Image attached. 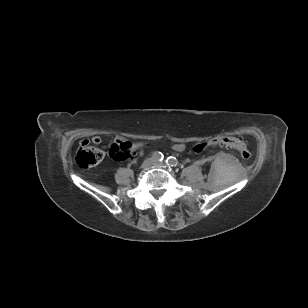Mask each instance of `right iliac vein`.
<instances>
[{
  "label": "right iliac vein",
  "mask_w": 308,
  "mask_h": 308,
  "mask_svg": "<svg viewBox=\"0 0 308 308\" xmlns=\"http://www.w3.org/2000/svg\"><path fill=\"white\" fill-rule=\"evenodd\" d=\"M153 164V160L151 159H146L143 161V163L141 164V168L142 169H146L148 168L149 166H151Z\"/></svg>",
  "instance_id": "1"
}]
</instances>
